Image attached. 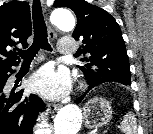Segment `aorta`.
<instances>
[{
	"label": "aorta",
	"instance_id": "aorta-1",
	"mask_svg": "<svg viewBox=\"0 0 153 134\" xmlns=\"http://www.w3.org/2000/svg\"><path fill=\"white\" fill-rule=\"evenodd\" d=\"M55 28L71 31L75 27L73 15L66 9H57L52 14ZM82 124L81 110L73 104L60 109L54 120V134H77Z\"/></svg>",
	"mask_w": 153,
	"mask_h": 134
}]
</instances>
